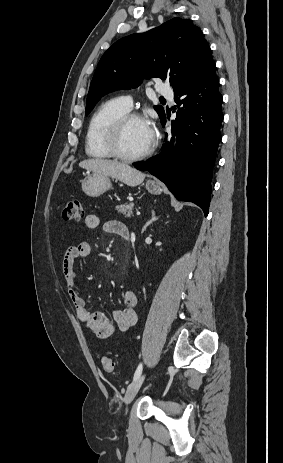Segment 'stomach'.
<instances>
[{
	"instance_id": "stomach-1",
	"label": "stomach",
	"mask_w": 283,
	"mask_h": 463,
	"mask_svg": "<svg viewBox=\"0 0 283 463\" xmlns=\"http://www.w3.org/2000/svg\"><path fill=\"white\" fill-rule=\"evenodd\" d=\"M112 187L110 178L108 176L93 174L87 176L82 181L83 192L91 197H97ZM146 189L153 195L162 193V187L158 181L148 180L146 182Z\"/></svg>"
}]
</instances>
